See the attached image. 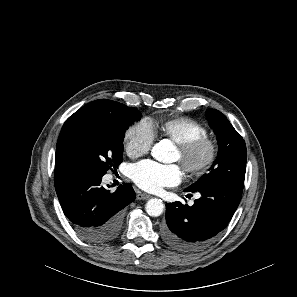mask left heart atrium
<instances>
[{
    "label": "left heart atrium",
    "instance_id": "1",
    "mask_svg": "<svg viewBox=\"0 0 297 297\" xmlns=\"http://www.w3.org/2000/svg\"><path fill=\"white\" fill-rule=\"evenodd\" d=\"M131 177L135 184L148 192H158L164 187L179 184L183 173L178 165H162L150 160L133 166Z\"/></svg>",
    "mask_w": 297,
    "mask_h": 297
}]
</instances>
